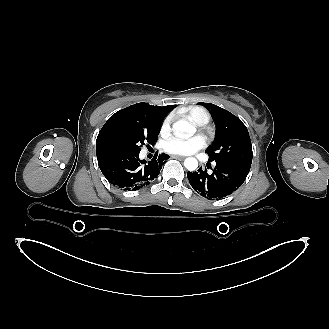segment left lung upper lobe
<instances>
[{
	"instance_id": "1",
	"label": "left lung upper lobe",
	"mask_w": 329,
	"mask_h": 329,
	"mask_svg": "<svg viewBox=\"0 0 329 329\" xmlns=\"http://www.w3.org/2000/svg\"><path fill=\"white\" fill-rule=\"evenodd\" d=\"M216 122L214 142L206 149L209 161L223 162L246 171L252 163V144L242 121L229 111L211 103L200 102Z\"/></svg>"
}]
</instances>
